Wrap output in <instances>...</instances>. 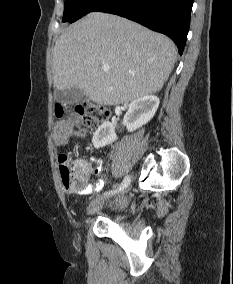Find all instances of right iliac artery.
Returning <instances> with one entry per match:
<instances>
[{"instance_id": "1", "label": "right iliac artery", "mask_w": 233, "mask_h": 284, "mask_svg": "<svg viewBox=\"0 0 233 284\" xmlns=\"http://www.w3.org/2000/svg\"><path fill=\"white\" fill-rule=\"evenodd\" d=\"M130 183V178L129 176H126L123 180V182L121 183L120 187L117 189V190H113V191H110L108 193H106L105 195L107 194H113V193H116L118 190L121 191L123 189V187H127V184Z\"/></svg>"}]
</instances>
